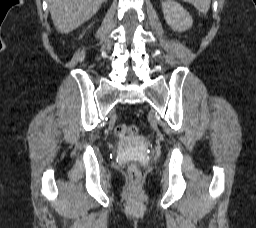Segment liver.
Masks as SVG:
<instances>
[{
	"instance_id": "1",
	"label": "liver",
	"mask_w": 256,
	"mask_h": 228,
	"mask_svg": "<svg viewBox=\"0 0 256 228\" xmlns=\"http://www.w3.org/2000/svg\"><path fill=\"white\" fill-rule=\"evenodd\" d=\"M105 1L49 0L54 26L61 33H69L94 16Z\"/></svg>"
}]
</instances>
